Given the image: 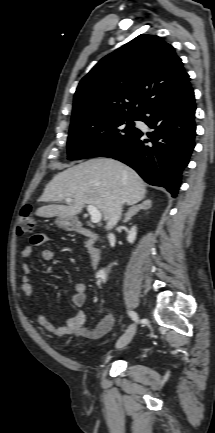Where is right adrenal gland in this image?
<instances>
[{
    "label": "right adrenal gland",
    "instance_id": "2a0ac1e0",
    "mask_svg": "<svg viewBox=\"0 0 215 433\" xmlns=\"http://www.w3.org/2000/svg\"><path fill=\"white\" fill-rule=\"evenodd\" d=\"M152 206L151 200L147 199L142 204L132 206L129 208L128 212L125 214V218L123 220L124 223H127L131 220V218L139 212V210H147Z\"/></svg>",
    "mask_w": 215,
    "mask_h": 433
}]
</instances>
